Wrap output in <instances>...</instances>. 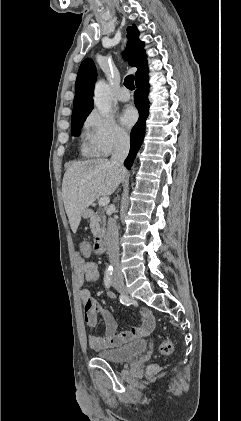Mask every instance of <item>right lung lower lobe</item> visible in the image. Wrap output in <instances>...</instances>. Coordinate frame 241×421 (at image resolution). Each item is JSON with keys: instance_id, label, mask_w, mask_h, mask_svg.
<instances>
[{"instance_id": "obj_1", "label": "right lung lower lobe", "mask_w": 241, "mask_h": 421, "mask_svg": "<svg viewBox=\"0 0 241 421\" xmlns=\"http://www.w3.org/2000/svg\"><path fill=\"white\" fill-rule=\"evenodd\" d=\"M135 83L137 90L134 94V102L139 111V119L138 122L135 124L131 131L130 136V152L126 160L124 161V165L127 169H130L133 165L134 158L136 153L138 152L144 134H145V121L149 114V101H148V91H149V83H148V68L147 66L141 70V72L136 76Z\"/></svg>"}]
</instances>
